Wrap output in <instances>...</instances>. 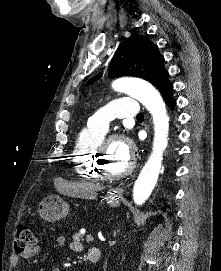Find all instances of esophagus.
Masks as SVG:
<instances>
[{
	"instance_id": "esophagus-1",
	"label": "esophagus",
	"mask_w": 221,
	"mask_h": 271,
	"mask_svg": "<svg viewBox=\"0 0 221 271\" xmlns=\"http://www.w3.org/2000/svg\"><path fill=\"white\" fill-rule=\"evenodd\" d=\"M117 192H123V188H117V190H116Z\"/></svg>"
}]
</instances>
